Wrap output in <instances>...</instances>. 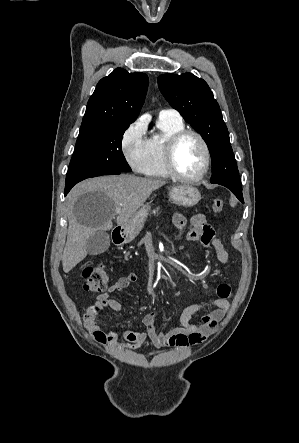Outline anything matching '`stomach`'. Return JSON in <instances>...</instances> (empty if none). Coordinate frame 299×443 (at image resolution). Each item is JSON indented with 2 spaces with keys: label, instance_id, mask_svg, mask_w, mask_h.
Wrapping results in <instances>:
<instances>
[{
  "label": "stomach",
  "instance_id": "obj_1",
  "mask_svg": "<svg viewBox=\"0 0 299 443\" xmlns=\"http://www.w3.org/2000/svg\"><path fill=\"white\" fill-rule=\"evenodd\" d=\"M169 198L177 205L192 207L201 200V194L199 190L192 185H179L171 188ZM150 209L151 202L143 205L138 212L122 225L124 243L132 241L139 234Z\"/></svg>",
  "mask_w": 299,
  "mask_h": 443
}]
</instances>
